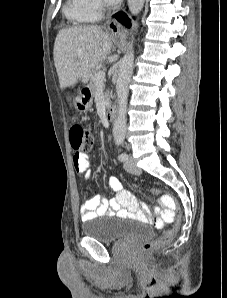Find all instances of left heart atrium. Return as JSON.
Instances as JSON below:
<instances>
[{
    "label": "left heart atrium",
    "instance_id": "obj_1",
    "mask_svg": "<svg viewBox=\"0 0 227 298\" xmlns=\"http://www.w3.org/2000/svg\"><path fill=\"white\" fill-rule=\"evenodd\" d=\"M106 3L110 4V5H114V4H117L119 3L121 0H105Z\"/></svg>",
    "mask_w": 227,
    "mask_h": 298
}]
</instances>
